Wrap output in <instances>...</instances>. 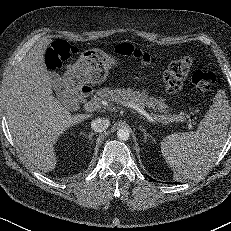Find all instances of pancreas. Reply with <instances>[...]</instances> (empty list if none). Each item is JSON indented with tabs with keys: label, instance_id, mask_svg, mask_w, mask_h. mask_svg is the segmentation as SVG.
Segmentation results:
<instances>
[{
	"label": "pancreas",
	"instance_id": "cf45deb5",
	"mask_svg": "<svg viewBox=\"0 0 231 231\" xmlns=\"http://www.w3.org/2000/svg\"><path fill=\"white\" fill-rule=\"evenodd\" d=\"M105 100L108 102H116L123 106H128L129 104H134L142 109L147 107L148 109L157 110L159 112L167 113L168 106L163 103L162 100L155 97H150L144 92L134 91L132 89L124 88H103L96 92V97L92 98V101ZM129 107V106H128ZM158 118L162 119V122H171L170 118L175 115H156Z\"/></svg>",
	"mask_w": 231,
	"mask_h": 231
}]
</instances>
